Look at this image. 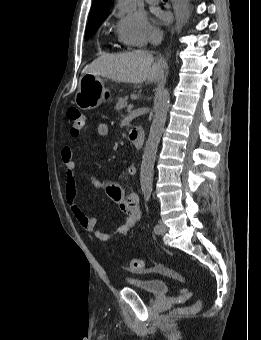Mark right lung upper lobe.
<instances>
[{"mask_svg": "<svg viewBox=\"0 0 261 340\" xmlns=\"http://www.w3.org/2000/svg\"><path fill=\"white\" fill-rule=\"evenodd\" d=\"M111 0H93L88 24L99 19L107 18Z\"/></svg>", "mask_w": 261, "mask_h": 340, "instance_id": "cb5924a9", "label": "right lung upper lobe"}]
</instances>
